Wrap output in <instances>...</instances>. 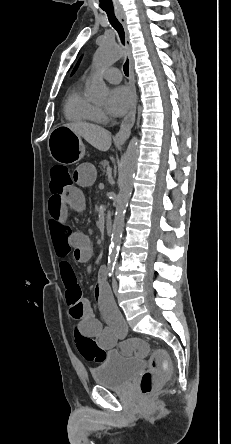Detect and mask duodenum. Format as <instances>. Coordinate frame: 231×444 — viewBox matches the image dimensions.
<instances>
[{
  "label": "duodenum",
  "mask_w": 231,
  "mask_h": 444,
  "mask_svg": "<svg viewBox=\"0 0 231 444\" xmlns=\"http://www.w3.org/2000/svg\"><path fill=\"white\" fill-rule=\"evenodd\" d=\"M105 231L110 235L113 231V220L111 216H108L105 221Z\"/></svg>",
  "instance_id": "duodenum-1"
}]
</instances>
